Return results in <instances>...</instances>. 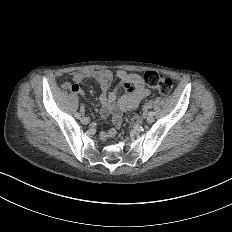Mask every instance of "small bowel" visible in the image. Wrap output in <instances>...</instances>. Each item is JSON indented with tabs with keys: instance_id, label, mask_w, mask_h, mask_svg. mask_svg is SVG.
Listing matches in <instances>:
<instances>
[{
	"instance_id": "1",
	"label": "small bowel",
	"mask_w": 232,
	"mask_h": 232,
	"mask_svg": "<svg viewBox=\"0 0 232 232\" xmlns=\"http://www.w3.org/2000/svg\"><path fill=\"white\" fill-rule=\"evenodd\" d=\"M67 74L70 80L63 83V88L73 93H84V80L94 79L101 89V101L103 108L100 110L102 117H107L110 112H114V124H121V117L125 112L134 110L143 98L153 96V92L145 87L143 78L135 73H129L125 69L117 71L119 81L109 90L111 80V70L109 69H84L69 70ZM122 90H127L121 94ZM84 111L82 107L81 112ZM115 129L101 133V139L113 137Z\"/></svg>"
}]
</instances>
